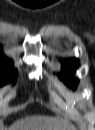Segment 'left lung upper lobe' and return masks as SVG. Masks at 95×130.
I'll return each instance as SVG.
<instances>
[{"instance_id":"left-lung-upper-lobe-1","label":"left lung upper lobe","mask_w":95,"mask_h":130,"mask_svg":"<svg viewBox=\"0 0 95 130\" xmlns=\"http://www.w3.org/2000/svg\"><path fill=\"white\" fill-rule=\"evenodd\" d=\"M79 62L76 59H69L63 62L62 69L66 73V75L59 74V78L69 87L76 88L78 80L71 77V73H73L78 67Z\"/></svg>"}]
</instances>
